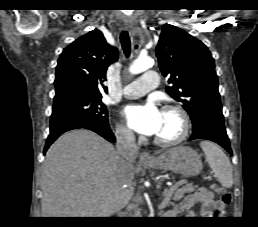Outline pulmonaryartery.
I'll return each instance as SVG.
<instances>
[{
	"label": "pulmonary artery",
	"instance_id": "pulmonary-artery-1",
	"mask_svg": "<svg viewBox=\"0 0 258 227\" xmlns=\"http://www.w3.org/2000/svg\"><path fill=\"white\" fill-rule=\"evenodd\" d=\"M159 79L155 71L146 72L123 88V95L127 98H138L157 87Z\"/></svg>",
	"mask_w": 258,
	"mask_h": 227
}]
</instances>
